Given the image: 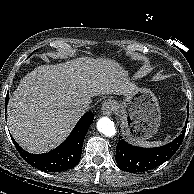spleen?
Wrapping results in <instances>:
<instances>
[{
    "mask_svg": "<svg viewBox=\"0 0 194 194\" xmlns=\"http://www.w3.org/2000/svg\"><path fill=\"white\" fill-rule=\"evenodd\" d=\"M170 137H171L170 135H167V137L164 139V142H162V141L149 142V141H143V140L137 139V140H135V143L138 145H141L143 147H155V146H159V145L169 141Z\"/></svg>",
    "mask_w": 194,
    "mask_h": 194,
    "instance_id": "obj_1",
    "label": "spleen"
}]
</instances>
